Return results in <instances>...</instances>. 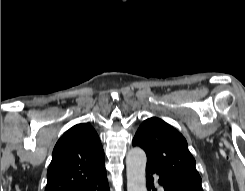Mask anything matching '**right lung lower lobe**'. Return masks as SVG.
Instances as JSON below:
<instances>
[{"label":"right lung lower lobe","mask_w":245,"mask_h":191,"mask_svg":"<svg viewBox=\"0 0 245 191\" xmlns=\"http://www.w3.org/2000/svg\"><path fill=\"white\" fill-rule=\"evenodd\" d=\"M72 191H110L107 177L94 179L84 186L73 189Z\"/></svg>","instance_id":"right-lung-lower-lobe-1"}]
</instances>
